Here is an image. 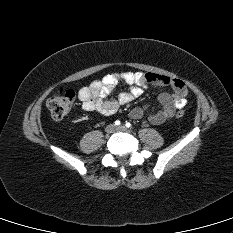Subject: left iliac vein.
Wrapping results in <instances>:
<instances>
[{"label": "left iliac vein", "instance_id": "1", "mask_svg": "<svg viewBox=\"0 0 233 233\" xmlns=\"http://www.w3.org/2000/svg\"><path fill=\"white\" fill-rule=\"evenodd\" d=\"M117 131H122V132H130L126 126L121 125L116 128Z\"/></svg>", "mask_w": 233, "mask_h": 233}]
</instances>
